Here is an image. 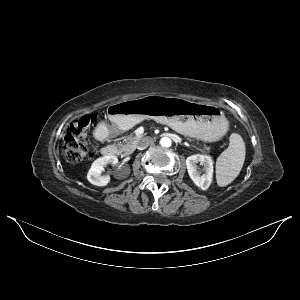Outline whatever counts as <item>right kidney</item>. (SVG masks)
I'll return each instance as SVG.
<instances>
[{
  "label": "right kidney",
  "instance_id": "ca27d5eb",
  "mask_svg": "<svg viewBox=\"0 0 300 300\" xmlns=\"http://www.w3.org/2000/svg\"><path fill=\"white\" fill-rule=\"evenodd\" d=\"M118 162V159L114 155H105L103 157H100L96 159L88 173H87V179L88 181L96 186H106L110 181L109 175H101L104 171V167L108 164L116 165Z\"/></svg>",
  "mask_w": 300,
  "mask_h": 300
}]
</instances>
